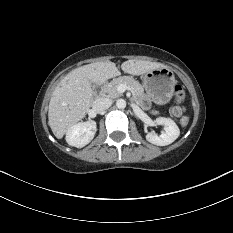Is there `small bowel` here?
Segmentation results:
<instances>
[{
  "instance_id": "c3829d8e",
  "label": "small bowel",
  "mask_w": 233,
  "mask_h": 233,
  "mask_svg": "<svg viewBox=\"0 0 233 233\" xmlns=\"http://www.w3.org/2000/svg\"><path fill=\"white\" fill-rule=\"evenodd\" d=\"M174 113H175V115L179 116V115H181L182 110H181V109H176V110L174 111Z\"/></svg>"
}]
</instances>
